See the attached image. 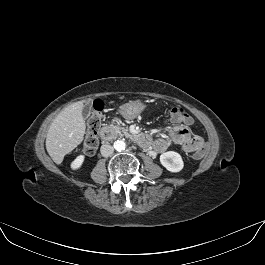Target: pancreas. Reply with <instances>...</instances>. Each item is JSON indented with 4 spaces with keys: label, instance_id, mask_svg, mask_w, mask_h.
Segmentation results:
<instances>
[{
    "label": "pancreas",
    "instance_id": "obj_1",
    "mask_svg": "<svg viewBox=\"0 0 265 265\" xmlns=\"http://www.w3.org/2000/svg\"><path fill=\"white\" fill-rule=\"evenodd\" d=\"M110 126L114 129L115 133L118 136H120V137L121 136H126V137L129 136L128 129L123 127V126H121L120 123H118L117 125L111 124Z\"/></svg>",
    "mask_w": 265,
    "mask_h": 265
}]
</instances>
